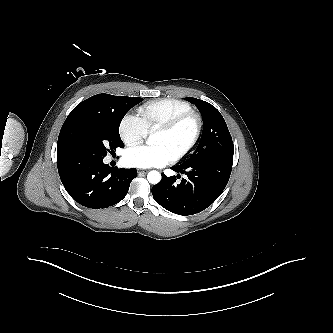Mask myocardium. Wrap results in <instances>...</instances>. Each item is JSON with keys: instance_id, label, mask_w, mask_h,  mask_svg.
<instances>
[{"instance_id": "obj_1", "label": "myocardium", "mask_w": 333, "mask_h": 333, "mask_svg": "<svg viewBox=\"0 0 333 333\" xmlns=\"http://www.w3.org/2000/svg\"><path fill=\"white\" fill-rule=\"evenodd\" d=\"M188 120H192L195 125L193 136H192L191 140L189 141V143L182 150H180L174 156H172L171 161H173V162L179 161L182 158H184L185 156H187L193 150V148L197 145V143L201 137L202 130H203V120H202L201 115L199 113L191 110V111L182 113V114L172 118L171 120L167 121L166 123L162 124L161 126H159L156 129V131L170 133V132H173L181 124H183L184 122H186Z\"/></svg>"}]
</instances>
